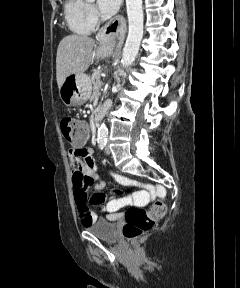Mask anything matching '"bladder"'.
Returning <instances> with one entry per match:
<instances>
[{
	"label": "bladder",
	"mask_w": 240,
	"mask_h": 288,
	"mask_svg": "<svg viewBox=\"0 0 240 288\" xmlns=\"http://www.w3.org/2000/svg\"><path fill=\"white\" fill-rule=\"evenodd\" d=\"M86 229L94 236L104 241H115L118 237L117 227L113 222L98 220L86 226Z\"/></svg>",
	"instance_id": "1"
}]
</instances>
